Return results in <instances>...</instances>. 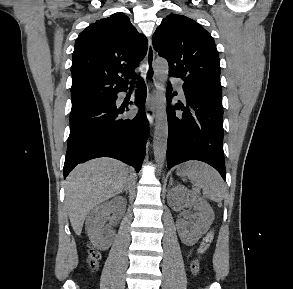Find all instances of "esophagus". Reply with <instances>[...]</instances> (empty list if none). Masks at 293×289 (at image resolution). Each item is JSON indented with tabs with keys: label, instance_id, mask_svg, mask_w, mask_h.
Here are the masks:
<instances>
[{
	"label": "esophagus",
	"instance_id": "34e87169",
	"mask_svg": "<svg viewBox=\"0 0 293 289\" xmlns=\"http://www.w3.org/2000/svg\"><path fill=\"white\" fill-rule=\"evenodd\" d=\"M155 51L151 39L148 40V51L146 57V70L144 73V81L147 87L146 115L150 126L153 125L155 119V110L157 102L158 86L155 77Z\"/></svg>",
	"mask_w": 293,
	"mask_h": 289
}]
</instances>
